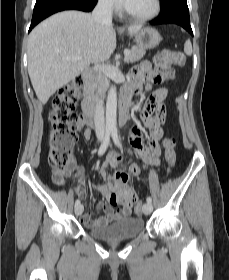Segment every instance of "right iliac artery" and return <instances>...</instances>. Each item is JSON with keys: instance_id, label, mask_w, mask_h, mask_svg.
<instances>
[{"instance_id": "obj_1", "label": "right iliac artery", "mask_w": 229, "mask_h": 280, "mask_svg": "<svg viewBox=\"0 0 229 280\" xmlns=\"http://www.w3.org/2000/svg\"><path fill=\"white\" fill-rule=\"evenodd\" d=\"M111 133H112L111 130H106L103 143L101 144V146H100V148H99V151H98V155H99V156H102V155L106 152L107 147H108L109 142H110ZM75 205H76V206H77V205H80V200H79V199L76 200Z\"/></svg>"}]
</instances>
